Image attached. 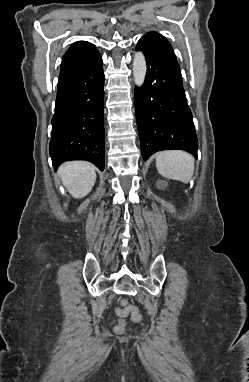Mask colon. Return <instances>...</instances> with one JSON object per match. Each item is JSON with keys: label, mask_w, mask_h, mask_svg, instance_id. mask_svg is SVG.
Masks as SVG:
<instances>
[{"label": "colon", "mask_w": 249, "mask_h": 382, "mask_svg": "<svg viewBox=\"0 0 249 382\" xmlns=\"http://www.w3.org/2000/svg\"><path fill=\"white\" fill-rule=\"evenodd\" d=\"M121 305H122V308L119 311H117V314L119 316V321L115 327V330L118 333H122L125 331L126 324H125L124 318L129 313L131 314V318L136 322H139L142 319L136 307H134L133 305H130L126 300H122Z\"/></svg>", "instance_id": "1"}]
</instances>
